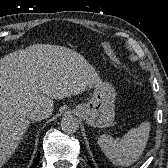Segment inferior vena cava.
Listing matches in <instances>:
<instances>
[{
  "label": "inferior vena cava",
  "instance_id": "1",
  "mask_svg": "<svg viewBox=\"0 0 168 168\" xmlns=\"http://www.w3.org/2000/svg\"><path fill=\"white\" fill-rule=\"evenodd\" d=\"M50 114L45 110L40 108L32 109L28 112L27 117L31 121H40L42 119L48 118Z\"/></svg>",
  "mask_w": 168,
  "mask_h": 168
}]
</instances>
